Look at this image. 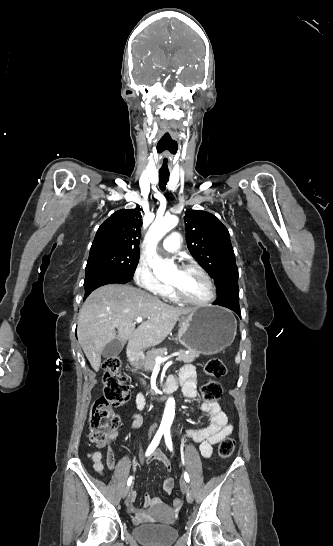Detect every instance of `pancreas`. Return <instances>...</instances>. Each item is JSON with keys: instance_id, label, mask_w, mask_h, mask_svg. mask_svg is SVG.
Instances as JSON below:
<instances>
[{"instance_id": "obj_1", "label": "pancreas", "mask_w": 333, "mask_h": 546, "mask_svg": "<svg viewBox=\"0 0 333 546\" xmlns=\"http://www.w3.org/2000/svg\"><path fill=\"white\" fill-rule=\"evenodd\" d=\"M166 348H157V349H151L146 353V357L142 360L141 364L145 371H152L155 366V360L157 356H164V352L166 351ZM181 354L177 357V361H183L185 363H191L193 362L197 357L198 353L190 351L188 354L184 353L183 351H179ZM143 384H145L143 380Z\"/></svg>"}]
</instances>
